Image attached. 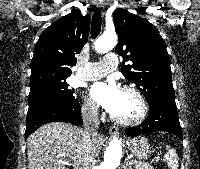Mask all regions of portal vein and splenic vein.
I'll list each match as a JSON object with an SVG mask.
<instances>
[{
	"instance_id": "portal-vein-and-splenic-vein-1",
	"label": "portal vein and splenic vein",
	"mask_w": 200,
	"mask_h": 169,
	"mask_svg": "<svg viewBox=\"0 0 200 169\" xmlns=\"http://www.w3.org/2000/svg\"><path fill=\"white\" fill-rule=\"evenodd\" d=\"M133 162V160H131V162L130 163H132ZM64 164H67V162H63Z\"/></svg>"
}]
</instances>
